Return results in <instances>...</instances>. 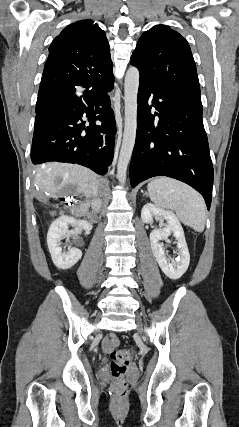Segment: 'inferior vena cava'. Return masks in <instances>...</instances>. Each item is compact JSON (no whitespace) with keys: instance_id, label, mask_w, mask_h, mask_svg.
<instances>
[{"instance_id":"1","label":"inferior vena cava","mask_w":239,"mask_h":427,"mask_svg":"<svg viewBox=\"0 0 239 427\" xmlns=\"http://www.w3.org/2000/svg\"><path fill=\"white\" fill-rule=\"evenodd\" d=\"M97 204L99 205V207L101 206V200L99 198H97Z\"/></svg>"}]
</instances>
